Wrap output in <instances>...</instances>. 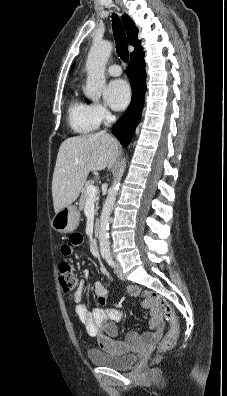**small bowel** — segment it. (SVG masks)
Here are the masks:
<instances>
[{
  "mask_svg": "<svg viewBox=\"0 0 227 396\" xmlns=\"http://www.w3.org/2000/svg\"><path fill=\"white\" fill-rule=\"evenodd\" d=\"M81 242L82 237L80 234L71 235L69 241L62 246V253L70 255ZM93 288L99 303L105 304L108 299L107 287L102 282L97 281L94 283ZM84 289L85 283L81 280L74 294L75 313L84 323L87 333L97 338L99 346L103 350L112 352L120 350L126 345L154 344L160 339L163 333V320L159 308L148 298L150 292L143 291L137 286L129 288L128 293L130 295L143 298L142 306L148 310L147 316L150 330L143 334L135 331L128 332L125 341L122 342L115 339L118 333L116 322L121 319V311L116 308H95L92 311L89 310L87 305L81 302Z\"/></svg>",
  "mask_w": 227,
  "mask_h": 396,
  "instance_id": "small-bowel-1",
  "label": "small bowel"
}]
</instances>
